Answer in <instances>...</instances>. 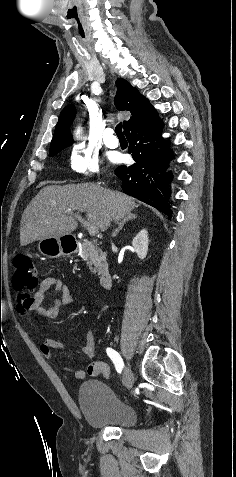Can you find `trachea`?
I'll return each mask as SVG.
<instances>
[{
  "mask_svg": "<svg viewBox=\"0 0 236 477\" xmlns=\"http://www.w3.org/2000/svg\"><path fill=\"white\" fill-rule=\"evenodd\" d=\"M115 133H116L118 138H125V136L122 132V124L121 123L117 124V126L115 127Z\"/></svg>",
  "mask_w": 236,
  "mask_h": 477,
  "instance_id": "trachea-1",
  "label": "trachea"
}]
</instances>
